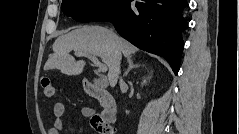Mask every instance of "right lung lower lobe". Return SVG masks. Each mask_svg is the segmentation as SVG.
Instances as JSON below:
<instances>
[{
  "instance_id": "obj_1",
  "label": "right lung lower lobe",
  "mask_w": 239,
  "mask_h": 134,
  "mask_svg": "<svg viewBox=\"0 0 239 134\" xmlns=\"http://www.w3.org/2000/svg\"><path fill=\"white\" fill-rule=\"evenodd\" d=\"M132 0H120L112 9L93 21H110L117 32L140 49L160 55L177 75L184 43L182 16L186 0H141L134 9Z\"/></svg>"
}]
</instances>
